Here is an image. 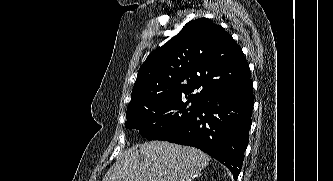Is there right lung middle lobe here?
<instances>
[{
  "label": "right lung middle lobe",
  "mask_w": 333,
  "mask_h": 181,
  "mask_svg": "<svg viewBox=\"0 0 333 181\" xmlns=\"http://www.w3.org/2000/svg\"><path fill=\"white\" fill-rule=\"evenodd\" d=\"M199 104V100L183 102L182 98L150 102L127 111L125 127L138 129L148 140H167L190 121Z\"/></svg>",
  "instance_id": "right-lung-middle-lobe-1"
}]
</instances>
